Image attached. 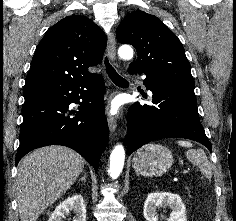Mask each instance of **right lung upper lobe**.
<instances>
[{
  "mask_svg": "<svg viewBox=\"0 0 236 221\" xmlns=\"http://www.w3.org/2000/svg\"><path fill=\"white\" fill-rule=\"evenodd\" d=\"M105 47L103 31L90 19L81 15L63 18L39 42L25 79L24 94L93 78L97 74L88 68L101 61Z\"/></svg>",
  "mask_w": 236,
  "mask_h": 221,
  "instance_id": "cb5924a9",
  "label": "right lung upper lobe"
}]
</instances>
